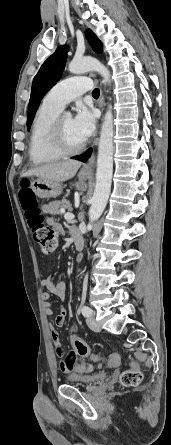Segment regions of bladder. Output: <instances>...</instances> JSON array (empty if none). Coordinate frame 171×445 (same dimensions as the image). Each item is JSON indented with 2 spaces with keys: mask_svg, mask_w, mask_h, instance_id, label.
Wrapping results in <instances>:
<instances>
[{
  "mask_svg": "<svg viewBox=\"0 0 171 445\" xmlns=\"http://www.w3.org/2000/svg\"><path fill=\"white\" fill-rule=\"evenodd\" d=\"M105 378V373L97 374H68L66 380L68 383L77 385H89L97 383Z\"/></svg>",
  "mask_w": 171,
  "mask_h": 445,
  "instance_id": "bladder-1",
  "label": "bladder"
}]
</instances>
